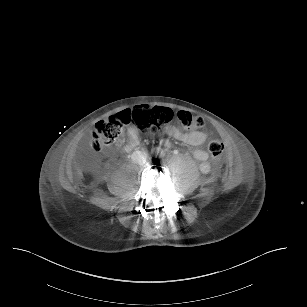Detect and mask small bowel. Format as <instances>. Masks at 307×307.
<instances>
[{
	"label": "small bowel",
	"instance_id": "small-bowel-1",
	"mask_svg": "<svg viewBox=\"0 0 307 307\" xmlns=\"http://www.w3.org/2000/svg\"><path fill=\"white\" fill-rule=\"evenodd\" d=\"M166 133L168 136L184 144H187L191 147H196L203 144L208 138V134L204 131L194 129L189 132H183L179 128L174 126L166 127ZM127 137H128V144L126 146L127 150L132 149L139 143L138 131L135 128H131L128 130ZM165 146L169 147L170 143L166 142ZM192 153L194 158L201 162L200 170L203 172H207L209 170V164L207 163L209 157L208 153L200 149H195L193 150Z\"/></svg>",
	"mask_w": 307,
	"mask_h": 307
}]
</instances>
